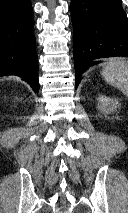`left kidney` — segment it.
Instances as JSON below:
<instances>
[{"instance_id":"left-kidney-1","label":"left kidney","mask_w":128,"mask_h":213,"mask_svg":"<svg viewBox=\"0 0 128 213\" xmlns=\"http://www.w3.org/2000/svg\"><path fill=\"white\" fill-rule=\"evenodd\" d=\"M97 102V108L104 114H110L120 108V104L117 100L104 95H100L97 98Z\"/></svg>"}]
</instances>
